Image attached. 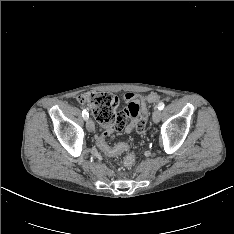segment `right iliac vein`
<instances>
[{"label":"right iliac vein","instance_id":"obj_1","mask_svg":"<svg viewBox=\"0 0 234 234\" xmlns=\"http://www.w3.org/2000/svg\"><path fill=\"white\" fill-rule=\"evenodd\" d=\"M86 127L89 132H93L95 130V124L92 119H87L86 121Z\"/></svg>","mask_w":234,"mask_h":234}]
</instances>
